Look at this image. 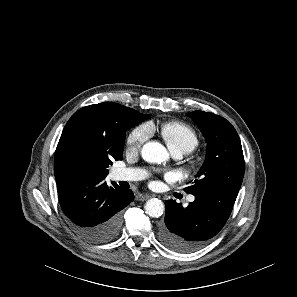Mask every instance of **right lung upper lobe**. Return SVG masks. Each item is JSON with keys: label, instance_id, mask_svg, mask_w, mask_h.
Here are the masks:
<instances>
[{"label": "right lung upper lobe", "instance_id": "obj_1", "mask_svg": "<svg viewBox=\"0 0 297 297\" xmlns=\"http://www.w3.org/2000/svg\"><path fill=\"white\" fill-rule=\"evenodd\" d=\"M130 109L111 102L78 110L65 125L55 152L57 185L80 175L105 179L112 160H121Z\"/></svg>", "mask_w": 297, "mask_h": 297}]
</instances>
